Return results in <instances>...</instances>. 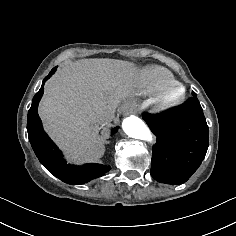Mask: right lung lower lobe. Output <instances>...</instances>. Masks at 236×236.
Masks as SVG:
<instances>
[{
	"instance_id": "obj_1",
	"label": "right lung lower lobe",
	"mask_w": 236,
	"mask_h": 236,
	"mask_svg": "<svg viewBox=\"0 0 236 236\" xmlns=\"http://www.w3.org/2000/svg\"><path fill=\"white\" fill-rule=\"evenodd\" d=\"M56 68H53L43 80L40 90L33 97L31 108L28 111V137L39 161L51 174L68 184H84L103 176L110 170V166L95 163L85 164L83 166L67 164L61 151L44 132L37 109L44 92V83L55 72ZM117 130L118 127L114 128L111 134H114Z\"/></svg>"
}]
</instances>
